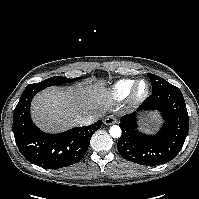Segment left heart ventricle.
I'll use <instances>...</instances> for the list:
<instances>
[{
	"mask_svg": "<svg viewBox=\"0 0 199 199\" xmlns=\"http://www.w3.org/2000/svg\"><path fill=\"white\" fill-rule=\"evenodd\" d=\"M146 89V84L144 82L140 83L138 87V92L142 93Z\"/></svg>",
	"mask_w": 199,
	"mask_h": 199,
	"instance_id": "b2bd125f",
	"label": "left heart ventricle"
}]
</instances>
